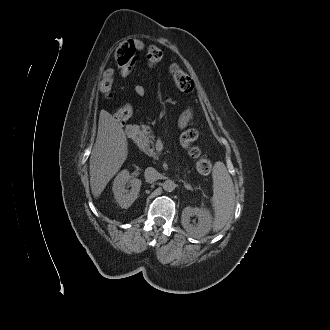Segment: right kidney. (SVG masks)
I'll return each mask as SVG.
<instances>
[{
	"label": "right kidney",
	"instance_id": "1",
	"mask_svg": "<svg viewBox=\"0 0 330 330\" xmlns=\"http://www.w3.org/2000/svg\"><path fill=\"white\" fill-rule=\"evenodd\" d=\"M126 184L131 187L130 190H127ZM141 184V180L130 176L127 169L119 172L112 187L116 202L124 209L129 208L137 199Z\"/></svg>",
	"mask_w": 330,
	"mask_h": 330
}]
</instances>
